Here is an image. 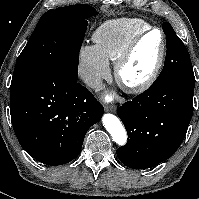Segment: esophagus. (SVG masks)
<instances>
[{
	"mask_svg": "<svg viewBox=\"0 0 199 199\" xmlns=\"http://www.w3.org/2000/svg\"><path fill=\"white\" fill-rule=\"evenodd\" d=\"M105 110L106 111H109V112H115L116 111V107L115 106H106L105 107Z\"/></svg>",
	"mask_w": 199,
	"mask_h": 199,
	"instance_id": "1",
	"label": "esophagus"
}]
</instances>
